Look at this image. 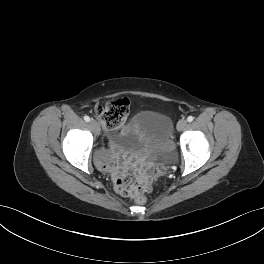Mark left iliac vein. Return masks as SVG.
<instances>
[{"mask_svg":"<svg viewBox=\"0 0 264 264\" xmlns=\"http://www.w3.org/2000/svg\"><path fill=\"white\" fill-rule=\"evenodd\" d=\"M186 124H187V121L185 119L179 120L178 123H177V129L179 131L182 130V129H184L185 126H186Z\"/></svg>","mask_w":264,"mask_h":264,"instance_id":"obj_1","label":"left iliac vein"}]
</instances>
